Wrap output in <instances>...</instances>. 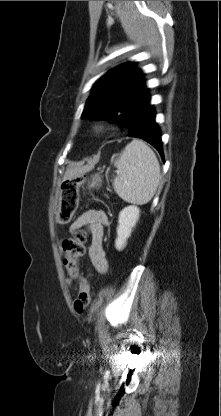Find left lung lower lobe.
Here are the masks:
<instances>
[{
  "instance_id": "1",
  "label": "left lung lower lobe",
  "mask_w": 221,
  "mask_h": 416,
  "mask_svg": "<svg viewBox=\"0 0 221 416\" xmlns=\"http://www.w3.org/2000/svg\"><path fill=\"white\" fill-rule=\"evenodd\" d=\"M155 109L150 105V97L143 100L132 117L128 126V136L140 138L157 149L163 158L160 128L155 122Z\"/></svg>"
}]
</instances>
